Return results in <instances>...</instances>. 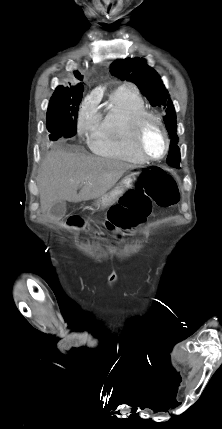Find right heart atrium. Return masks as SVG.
I'll list each match as a JSON object with an SVG mask.
<instances>
[{
    "label": "right heart atrium",
    "mask_w": 222,
    "mask_h": 429,
    "mask_svg": "<svg viewBox=\"0 0 222 429\" xmlns=\"http://www.w3.org/2000/svg\"><path fill=\"white\" fill-rule=\"evenodd\" d=\"M100 113L95 97L87 98L80 106L77 118V132L80 136L92 134L100 123Z\"/></svg>",
    "instance_id": "right-heart-atrium-1"
}]
</instances>
